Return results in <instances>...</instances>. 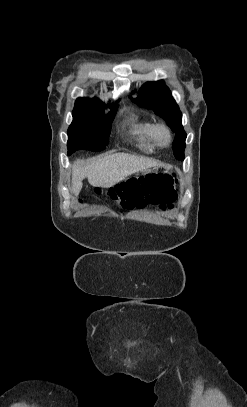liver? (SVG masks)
Here are the masks:
<instances>
[{
  "label": "liver",
  "instance_id": "1",
  "mask_svg": "<svg viewBox=\"0 0 247 407\" xmlns=\"http://www.w3.org/2000/svg\"><path fill=\"white\" fill-rule=\"evenodd\" d=\"M161 163L126 153H116L86 164L77 161L72 167L73 193L77 196L82 189V180L88 178L92 186L111 187L124 180L129 175L151 167L160 166Z\"/></svg>",
  "mask_w": 247,
  "mask_h": 407
}]
</instances>
